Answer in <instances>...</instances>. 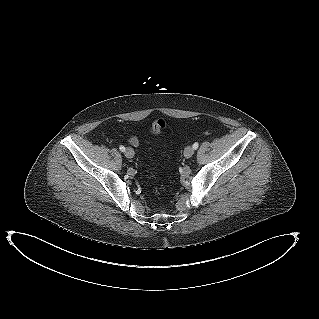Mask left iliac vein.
Masks as SVG:
<instances>
[{
  "mask_svg": "<svg viewBox=\"0 0 319 319\" xmlns=\"http://www.w3.org/2000/svg\"><path fill=\"white\" fill-rule=\"evenodd\" d=\"M193 154H194V149H193V147L188 146V147L185 148V150H184V156H185L186 158L192 157Z\"/></svg>",
  "mask_w": 319,
  "mask_h": 319,
  "instance_id": "left-iliac-vein-1",
  "label": "left iliac vein"
}]
</instances>
